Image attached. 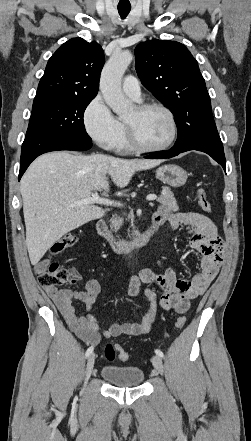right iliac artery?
<instances>
[{
  "mask_svg": "<svg viewBox=\"0 0 251 441\" xmlns=\"http://www.w3.org/2000/svg\"><path fill=\"white\" fill-rule=\"evenodd\" d=\"M93 350H94V347H93V346L89 347V348L87 349V351H86L85 356H86V357H89V356L92 354Z\"/></svg>",
  "mask_w": 251,
  "mask_h": 441,
  "instance_id": "1",
  "label": "right iliac artery"
}]
</instances>
